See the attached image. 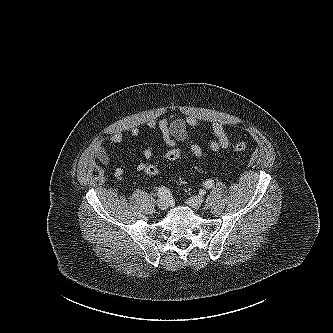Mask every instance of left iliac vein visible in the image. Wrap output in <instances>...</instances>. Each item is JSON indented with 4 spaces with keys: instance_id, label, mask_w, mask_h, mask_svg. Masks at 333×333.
I'll list each match as a JSON object with an SVG mask.
<instances>
[{
    "instance_id": "4c4485c4",
    "label": "left iliac vein",
    "mask_w": 333,
    "mask_h": 333,
    "mask_svg": "<svg viewBox=\"0 0 333 333\" xmlns=\"http://www.w3.org/2000/svg\"><path fill=\"white\" fill-rule=\"evenodd\" d=\"M203 202V198L199 196H193L187 200V204L195 209H199L202 206Z\"/></svg>"
}]
</instances>
